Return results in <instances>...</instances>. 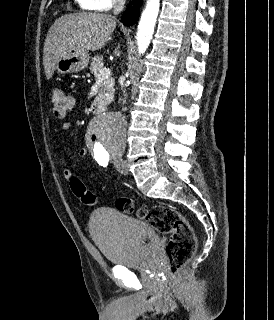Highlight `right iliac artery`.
<instances>
[{"instance_id":"82829eb1","label":"right iliac artery","mask_w":274,"mask_h":320,"mask_svg":"<svg viewBox=\"0 0 274 320\" xmlns=\"http://www.w3.org/2000/svg\"><path fill=\"white\" fill-rule=\"evenodd\" d=\"M108 159H102V160H99L98 163L101 165V166H107L108 165Z\"/></svg>"}]
</instances>
